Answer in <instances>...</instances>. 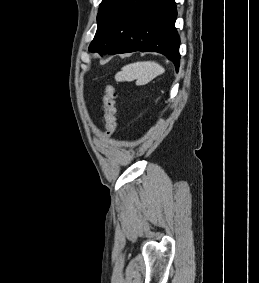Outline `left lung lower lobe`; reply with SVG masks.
I'll list each match as a JSON object with an SVG mask.
<instances>
[{
    "label": "left lung lower lobe",
    "instance_id": "1",
    "mask_svg": "<svg viewBox=\"0 0 259 283\" xmlns=\"http://www.w3.org/2000/svg\"><path fill=\"white\" fill-rule=\"evenodd\" d=\"M175 0H125L104 34L90 44V52L119 54L159 52L178 71L180 38L175 28Z\"/></svg>",
    "mask_w": 259,
    "mask_h": 283
}]
</instances>
